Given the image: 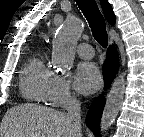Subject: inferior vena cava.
<instances>
[{
    "label": "inferior vena cava",
    "instance_id": "602c4592",
    "mask_svg": "<svg viewBox=\"0 0 144 137\" xmlns=\"http://www.w3.org/2000/svg\"><path fill=\"white\" fill-rule=\"evenodd\" d=\"M81 102L73 95L67 105V115L72 119L74 126L81 130V115H80Z\"/></svg>",
    "mask_w": 144,
    "mask_h": 137
}]
</instances>
